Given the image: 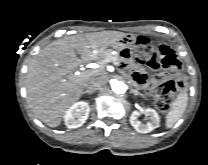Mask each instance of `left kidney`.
I'll return each instance as SVG.
<instances>
[{
	"label": "left kidney",
	"mask_w": 208,
	"mask_h": 165,
	"mask_svg": "<svg viewBox=\"0 0 208 165\" xmlns=\"http://www.w3.org/2000/svg\"><path fill=\"white\" fill-rule=\"evenodd\" d=\"M143 113L149 118V122L143 124L139 121V116ZM130 124L139 133H149L160 125V117L158 113L152 108H146L143 112L133 111L130 115Z\"/></svg>",
	"instance_id": "5707ae66"
}]
</instances>
